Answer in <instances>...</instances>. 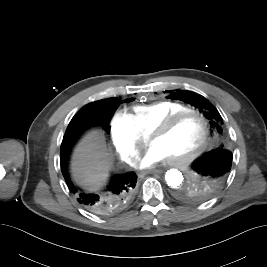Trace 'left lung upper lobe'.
<instances>
[{
  "mask_svg": "<svg viewBox=\"0 0 267 267\" xmlns=\"http://www.w3.org/2000/svg\"><path fill=\"white\" fill-rule=\"evenodd\" d=\"M166 92L170 93L167 98L181 100L197 108L199 112L208 119L211 131L219 137L221 141H224L225 132L223 129V119L217 109L206 98L186 90H171Z\"/></svg>",
  "mask_w": 267,
  "mask_h": 267,
  "instance_id": "5c2ea615",
  "label": "left lung upper lobe"
}]
</instances>
